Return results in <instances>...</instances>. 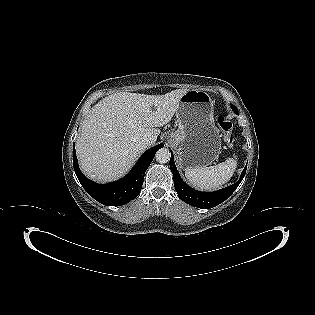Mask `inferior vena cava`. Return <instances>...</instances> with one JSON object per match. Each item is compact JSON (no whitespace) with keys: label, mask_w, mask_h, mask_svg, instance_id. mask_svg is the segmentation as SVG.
I'll list each match as a JSON object with an SVG mask.
<instances>
[{"label":"inferior vena cava","mask_w":315,"mask_h":315,"mask_svg":"<svg viewBox=\"0 0 315 315\" xmlns=\"http://www.w3.org/2000/svg\"><path fill=\"white\" fill-rule=\"evenodd\" d=\"M154 142H155L154 139L149 135L148 136L146 135L142 138V143L146 146H150L154 144Z\"/></svg>","instance_id":"1"}]
</instances>
